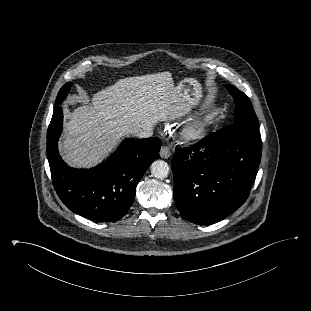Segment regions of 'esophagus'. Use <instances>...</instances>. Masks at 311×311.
I'll return each instance as SVG.
<instances>
[{"mask_svg":"<svg viewBox=\"0 0 311 311\" xmlns=\"http://www.w3.org/2000/svg\"><path fill=\"white\" fill-rule=\"evenodd\" d=\"M159 154H160L161 158L167 159V158L170 157L171 152H170V149L167 146H162L161 149H160V153Z\"/></svg>","mask_w":311,"mask_h":311,"instance_id":"obj_1","label":"esophagus"}]
</instances>
